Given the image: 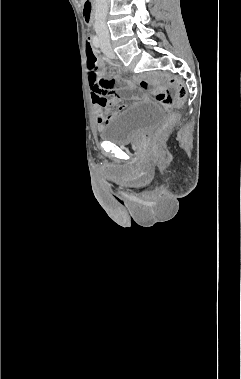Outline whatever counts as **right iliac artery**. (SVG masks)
Returning a JSON list of instances; mask_svg holds the SVG:
<instances>
[{
    "instance_id": "right-iliac-artery-1",
    "label": "right iliac artery",
    "mask_w": 241,
    "mask_h": 379,
    "mask_svg": "<svg viewBox=\"0 0 241 379\" xmlns=\"http://www.w3.org/2000/svg\"><path fill=\"white\" fill-rule=\"evenodd\" d=\"M93 44H94V46L95 47H100V39L97 37V36H94V38H93Z\"/></svg>"
}]
</instances>
